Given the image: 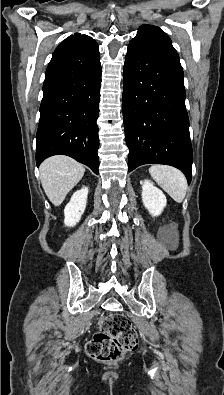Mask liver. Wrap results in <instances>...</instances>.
<instances>
[{
    "label": "liver",
    "instance_id": "1",
    "mask_svg": "<svg viewBox=\"0 0 224 395\" xmlns=\"http://www.w3.org/2000/svg\"><path fill=\"white\" fill-rule=\"evenodd\" d=\"M42 187L48 199L59 206L69 191L82 179L85 168L74 159L56 155L39 167Z\"/></svg>",
    "mask_w": 224,
    "mask_h": 395
}]
</instances>
